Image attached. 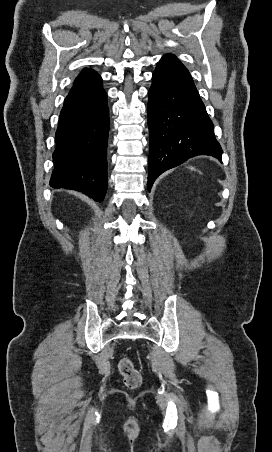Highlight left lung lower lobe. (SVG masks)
<instances>
[{
	"label": "left lung lower lobe",
	"mask_w": 272,
	"mask_h": 452,
	"mask_svg": "<svg viewBox=\"0 0 272 452\" xmlns=\"http://www.w3.org/2000/svg\"><path fill=\"white\" fill-rule=\"evenodd\" d=\"M148 92V190L155 179L197 155L221 159L214 125L186 67L171 54L158 62Z\"/></svg>",
	"instance_id": "left-lung-lower-lobe-1"
}]
</instances>
